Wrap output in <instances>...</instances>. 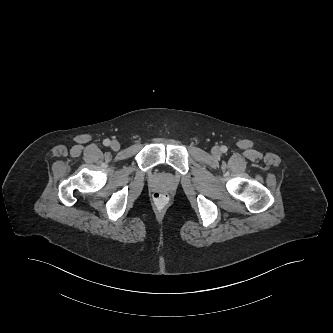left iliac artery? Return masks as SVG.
I'll use <instances>...</instances> for the list:
<instances>
[{
	"mask_svg": "<svg viewBox=\"0 0 333 333\" xmlns=\"http://www.w3.org/2000/svg\"><path fill=\"white\" fill-rule=\"evenodd\" d=\"M227 150H228V148H227L226 146H222V147H221V151H222L223 153H226Z\"/></svg>",
	"mask_w": 333,
	"mask_h": 333,
	"instance_id": "obj_1",
	"label": "left iliac artery"
}]
</instances>
